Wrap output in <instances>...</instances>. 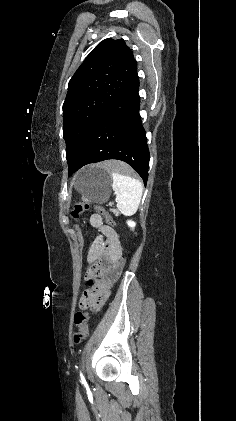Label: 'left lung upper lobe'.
Segmentation results:
<instances>
[{
    "label": "left lung upper lobe",
    "instance_id": "1",
    "mask_svg": "<svg viewBox=\"0 0 236 421\" xmlns=\"http://www.w3.org/2000/svg\"><path fill=\"white\" fill-rule=\"evenodd\" d=\"M136 67L131 49L121 39L100 42L68 84L63 104L67 163L79 158L99 118L123 91Z\"/></svg>",
    "mask_w": 236,
    "mask_h": 421
}]
</instances>
